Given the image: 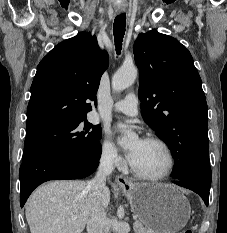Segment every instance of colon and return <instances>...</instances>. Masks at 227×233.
Returning <instances> with one entry per match:
<instances>
[{"instance_id":"obj_1","label":"colon","mask_w":227,"mask_h":233,"mask_svg":"<svg viewBox=\"0 0 227 233\" xmlns=\"http://www.w3.org/2000/svg\"><path fill=\"white\" fill-rule=\"evenodd\" d=\"M179 233H193L191 229H183Z\"/></svg>"}]
</instances>
